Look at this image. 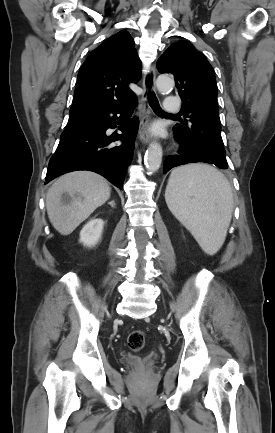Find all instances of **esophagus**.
Returning <instances> with one entry per match:
<instances>
[{
    "mask_svg": "<svg viewBox=\"0 0 275 433\" xmlns=\"http://www.w3.org/2000/svg\"><path fill=\"white\" fill-rule=\"evenodd\" d=\"M156 70L152 65L143 76V93L141 97V106L143 107V116L140 122L138 136L142 143L147 144L151 140L150 134V119H149V105L148 98L151 92L156 91L155 87Z\"/></svg>",
    "mask_w": 275,
    "mask_h": 433,
    "instance_id": "1",
    "label": "esophagus"
}]
</instances>
